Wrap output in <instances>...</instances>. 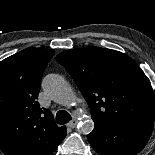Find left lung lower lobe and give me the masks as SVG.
<instances>
[{
    "label": "left lung lower lobe",
    "mask_w": 155,
    "mask_h": 155,
    "mask_svg": "<svg viewBox=\"0 0 155 155\" xmlns=\"http://www.w3.org/2000/svg\"><path fill=\"white\" fill-rule=\"evenodd\" d=\"M87 140L100 155H136L147 144L154 122H94Z\"/></svg>",
    "instance_id": "left-lung-lower-lobe-1"
}]
</instances>
